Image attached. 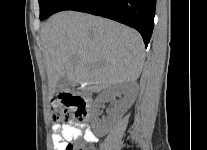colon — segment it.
I'll return each instance as SVG.
<instances>
[{
  "mask_svg": "<svg viewBox=\"0 0 207 150\" xmlns=\"http://www.w3.org/2000/svg\"><path fill=\"white\" fill-rule=\"evenodd\" d=\"M68 100H64V99ZM65 105H78L75 111V117L78 120H83L86 116V109L84 107L85 100H78L69 94H65V97L53 98L50 102L51 119L54 123H67L71 119V115ZM66 150H83L82 147L70 142L66 146Z\"/></svg>",
  "mask_w": 207,
  "mask_h": 150,
  "instance_id": "5ec220e1",
  "label": "colon"
}]
</instances>
